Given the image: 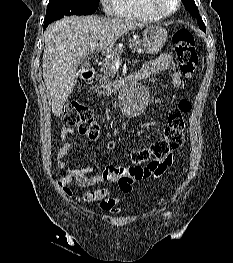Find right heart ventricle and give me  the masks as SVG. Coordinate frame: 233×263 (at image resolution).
<instances>
[{"label":"right heart ventricle","instance_id":"e07e8e85","mask_svg":"<svg viewBox=\"0 0 233 263\" xmlns=\"http://www.w3.org/2000/svg\"><path fill=\"white\" fill-rule=\"evenodd\" d=\"M119 17L153 22L162 19L149 5L148 0H117L114 9Z\"/></svg>","mask_w":233,"mask_h":263}]
</instances>
